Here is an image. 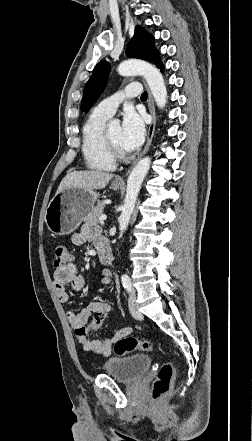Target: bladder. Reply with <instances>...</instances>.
I'll return each instance as SVG.
<instances>
[{
  "instance_id": "bladder-1",
  "label": "bladder",
  "mask_w": 252,
  "mask_h": 441,
  "mask_svg": "<svg viewBox=\"0 0 252 441\" xmlns=\"http://www.w3.org/2000/svg\"><path fill=\"white\" fill-rule=\"evenodd\" d=\"M151 364L152 359L148 355L139 354L111 358L103 364V369L117 381L133 383L144 376Z\"/></svg>"
}]
</instances>
